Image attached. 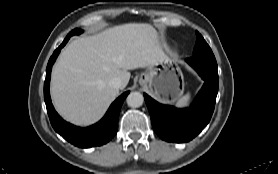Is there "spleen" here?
Listing matches in <instances>:
<instances>
[{
  "instance_id": "3e777b00",
  "label": "spleen",
  "mask_w": 278,
  "mask_h": 174,
  "mask_svg": "<svg viewBox=\"0 0 278 174\" xmlns=\"http://www.w3.org/2000/svg\"><path fill=\"white\" fill-rule=\"evenodd\" d=\"M190 100H191V94L188 92L186 95H184L183 97H181L177 103H176V106L178 108H184V107H187L190 103Z\"/></svg>"
}]
</instances>
